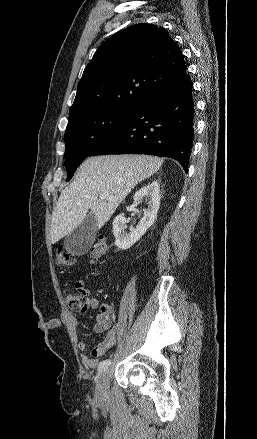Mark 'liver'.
Returning a JSON list of instances; mask_svg holds the SVG:
<instances>
[{"label":"liver","instance_id":"6515ba94","mask_svg":"<svg viewBox=\"0 0 257 439\" xmlns=\"http://www.w3.org/2000/svg\"><path fill=\"white\" fill-rule=\"evenodd\" d=\"M162 163L163 159L148 155H103L85 160L74 181L60 194L52 214L51 243L76 229L89 209L96 217L97 228L103 227L129 192ZM103 193L113 199H100Z\"/></svg>","mask_w":257,"mask_h":439}]
</instances>
